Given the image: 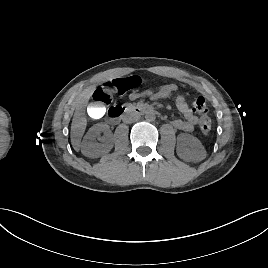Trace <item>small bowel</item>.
Returning a JSON list of instances; mask_svg holds the SVG:
<instances>
[{
    "instance_id": "obj_1",
    "label": "small bowel",
    "mask_w": 268,
    "mask_h": 268,
    "mask_svg": "<svg viewBox=\"0 0 268 268\" xmlns=\"http://www.w3.org/2000/svg\"><path fill=\"white\" fill-rule=\"evenodd\" d=\"M174 96L176 107L182 114V119H174L171 123L173 127L180 131L191 132L198 122L195 112L189 107L185 97L180 93L176 84H162L155 88L145 89L129 95L131 100L147 98L150 100H160Z\"/></svg>"
}]
</instances>
